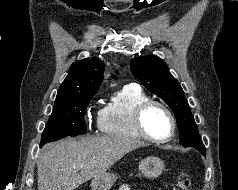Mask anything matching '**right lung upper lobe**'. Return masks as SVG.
Listing matches in <instances>:
<instances>
[{
  "instance_id": "cb5924a9",
  "label": "right lung upper lobe",
  "mask_w": 238,
  "mask_h": 190,
  "mask_svg": "<svg viewBox=\"0 0 238 190\" xmlns=\"http://www.w3.org/2000/svg\"><path fill=\"white\" fill-rule=\"evenodd\" d=\"M103 71L104 63L98 58H86L74 62L58 90L55 102L80 94H95L101 85Z\"/></svg>"
}]
</instances>
